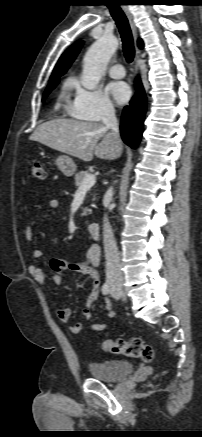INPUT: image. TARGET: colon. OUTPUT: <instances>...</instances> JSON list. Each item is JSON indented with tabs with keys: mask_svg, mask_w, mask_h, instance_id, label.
<instances>
[{
	"mask_svg": "<svg viewBox=\"0 0 202 437\" xmlns=\"http://www.w3.org/2000/svg\"><path fill=\"white\" fill-rule=\"evenodd\" d=\"M30 173L34 179H44L45 171L43 164L39 161H34L31 164ZM102 349L113 354L137 358L145 363L151 362L155 356L153 347L140 338H134L130 341L122 339L106 340L102 343Z\"/></svg>",
	"mask_w": 202,
	"mask_h": 437,
	"instance_id": "obj_1",
	"label": "colon"
}]
</instances>
